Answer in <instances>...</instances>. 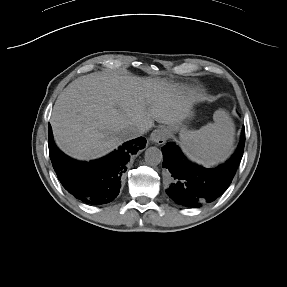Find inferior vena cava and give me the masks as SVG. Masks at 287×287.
I'll list each match as a JSON object with an SVG mask.
<instances>
[{"instance_id":"obj_1","label":"inferior vena cava","mask_w":287,"mask_h":287,"mask_svg":"<svg viewBox=\"0 0 287 287\" xmlns=\"http://www.w3.org/2000/svg\"><path fill=\"white\" fill-rule=\"evenodd\" d=\"M146 131L145 127L140 125H129L123 129V134L127 140L135 139L142 136Z\"/></svg>"}]
</instances>
